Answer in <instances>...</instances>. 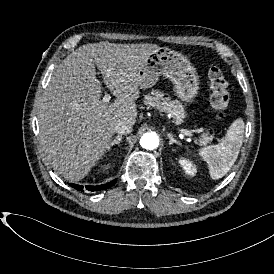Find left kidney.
Here are the masks:
<instances>
[{"instance_id":"left-kidney-1","label":"left kidney","mask_w":274,"mask_h":274,"mask_svg":"<svg viewBox=\"0 0 274 274\" xmlns=\"http://www.w3.org/2000/svg\"><path fill=\"white\" fill-rule=\"evenodd\" d=\"M180 161L184 165V170L186 173L193 175L196 172V169L191 164H189L183 160H180Z\"/></svg>"}]
</instances>
